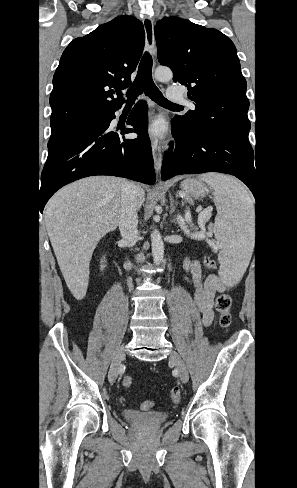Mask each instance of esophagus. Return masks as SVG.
I'll return each mask as SVG.
<instances>
[{
    "label": "esophagus",
    "mask_w": 297,
    "mask_h": 488,
    "mask_svg": "<svg viewBox=\"0 0 297 488\" xmlns=\"http://www.w3.org/2000/svg\"><path fill=\"white\" fill-rule=\"evenodd\" d=\"M143 25H144V30H145V36H146V47L148 52L153 55L155 53V38H154V23L153 19L146 16L143 19ZM152 153H153V159H154V168L156 172H160L161 170V165H162V150L160 143L158 142L157 139L152 138Z\"/></svg>",
    "instance_id": "34e87169"
}]
</instances>
